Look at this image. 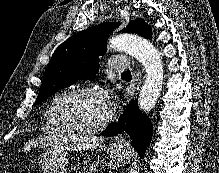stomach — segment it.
<instances>
[{
  "label": "stomach",
  "instance_id": "0dacf381",
  "mask_svg": "<svg viewBox=\"0 0 219 173\" xmlns=\"http://www.w3.org/2000/svg\"><path fill=\"white\" fill-rule=\"evenodd\" d=\"M108 151L112 162L118 166L131 162V152L122 144H112ZM67 164V153L59 147L48 146L38 157L40 173H65Z\"/></svg>",
  "mask_w": 219,
  "mask_h": 173
}]
</instances>
